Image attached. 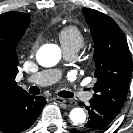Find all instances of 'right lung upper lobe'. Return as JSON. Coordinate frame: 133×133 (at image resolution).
Wrapping results in <instances>:
<instances>
[{"label":"right lung upper lobe","mask_w":133,"mask_h":133,"mask_svg":"<svg viewBox=\"0 0 133 133\" xmlns=\"http://www.w3.org/2000/svg\"><path fill=\"white\" fill-rule=\"evenodd\" d=\"M30 23V15L22 12H7L0 15V47L14 51L4 61H0V114L16 97L27 93L17 86L18 73L16 46Z\"/></svg>","instance_id":"obj_1"}]
</instances>
